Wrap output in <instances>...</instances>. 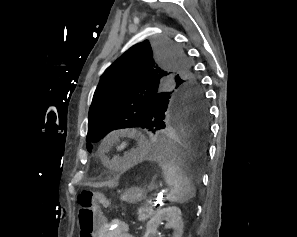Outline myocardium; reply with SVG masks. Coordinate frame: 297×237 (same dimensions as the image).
I'll return each mask as SVG.
<instances>
[{
    "label": "myocardium",
    "mask_w": 297,
    "mask_h": 237,
    "mask_svg": "<svg viewBox=\"0 0 297 237\" xmlns=\"http://www.w3.org/2000/svg\"><path fill=\"white\" fill-rule=\"evenodd\" d=\"M113 141H115V143L111 148V152L117 155H123L127 153L133 145L132 139L130 137H121L114 139Z\"/></svg>",
    "instance_id": "myocardium-1"
}]
</instances>
